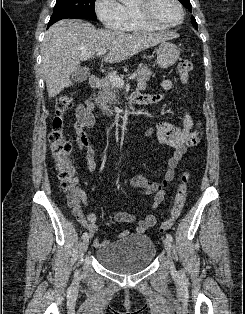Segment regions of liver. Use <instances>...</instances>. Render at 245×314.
<instances>
[{
	"mask_svg": "<svg viewBox=\"0 0 245 314\" xmlns=\"http://www.w3.org/2000/svg\"><path fill=\"white\" fill-rule=\"evenodd\" d=\"M177 37L178 34L174 32L127 34L97 29L82 20H60L47 30L41 44V67L49 99L70 87L71 74L79 67L80 62L92 58L99 51H108L105 62L118 63Z\"/></svg>",
	"mask_w": 245,
	"mask_h": 314,
	"instance_id": "1",
	"label": "liver"
}]
</instances>
